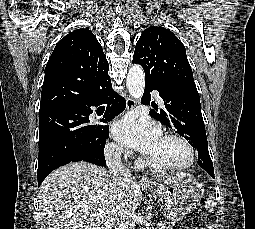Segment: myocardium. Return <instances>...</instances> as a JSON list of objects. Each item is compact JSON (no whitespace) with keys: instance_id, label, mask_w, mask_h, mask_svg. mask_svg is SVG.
Instances as JSON below:
<instances>
[{"instance_id":"f54148a6","label":"myocardium","mask_w":255,"mask_h":229,"mask_svg":"<svg viewBox=\"0 0 255 229\" xmlns=\"http://www.w3.org/2000/svg\"><path fill=\"white\" fill-rule=\"evenodd\" d=\"M163 137L173 139L182 144L188 151V159L181 164H166L158 161L151 160L146 156L143 157V163L151 168L162 170V171H182L192 166L196 160V152L193 145L188 139L181 134L175 132H165Z\"/></svg>"}]
</instances>
